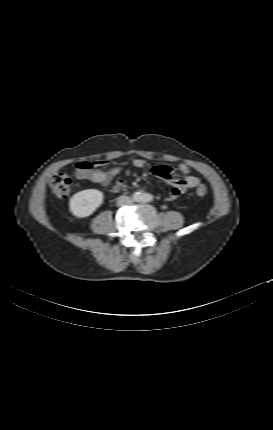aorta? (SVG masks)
I'll list each match as a JSON object with an SVG mask.
<instances>
[{
  "label": "aorta",
  "mask_w": 273,
  "mask_h": 430,
  "mask_svg": "<svg viewBox=\"0 0 273 430\" xmlns=\"http://www.w3.org/2000/svg\"><path fill=\"white\" fill-rule=\"evenodd\" d=\"M142 197H143V194H141V193H138V192H137V193H135V194H134V199H135V200H139V199H140V198H142Z\"/></svg>",
  "instance_id": "762f6f07"
}]
</instances>
